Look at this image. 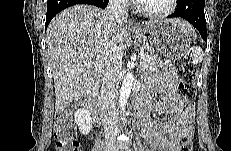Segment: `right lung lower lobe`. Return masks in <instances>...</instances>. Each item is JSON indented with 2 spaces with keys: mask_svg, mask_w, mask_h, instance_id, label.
<instances>
[{
  "mask_svg": "<svg viewBox=\"0 0 231 151\" xmlns=\"http://www.w3.org/2000/svg\"><path fill=\"white\" fill-rule=\"evenodd\" d=\"M108 2L109 0H48L45 28H47L52 18L65 8L76 4H90L105 8Z\"/></svg>",
  "mask_w": 231,
  "mask_h": 151,
  "instance_id": "98d812e1",
  "label": "right lung lower lobe"
}]
</instances>
